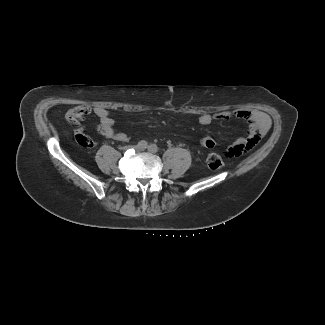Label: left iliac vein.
I'll return each mask as SVG.
<instances>
[{
    "label": "left iliac vein",
    "mask_w": 325,
    "mask_h": 325,
    "mask_svg": "<svg viewBox=\"0 0 325 325\" xmlns=\"http://www.w3.org/2000/svg\"><path fill=\"white\" fill-rule=\"evenodd\" d=\"M139 150H144V149H141V148H138Z\"/></svg>",
    "instance_id": "4c4485c4"
}]
</instances>
